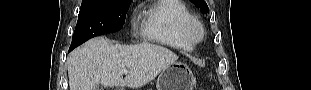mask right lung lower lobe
Instances as JSON below:
<instances>
[{"label": "right lung lower lobe", "mask_w": 311, "mask_h": 90, "mask_svg": "<svg viewBox=\"0 0 311 90\" xmlns=\"http://www.w3.org/2000/svg\"><path fill=\"white\" fill-rule=\"evenodd\" d=\"M73 48L70 47L69 51H71Z\"/></svg>", "instance_id": "1"}]
</instances>
